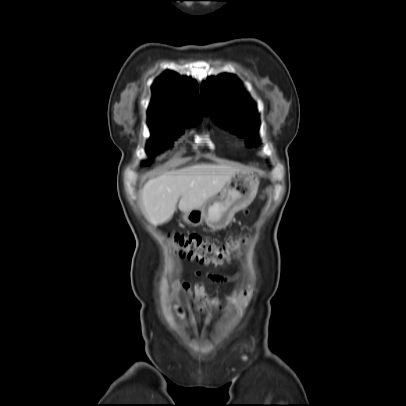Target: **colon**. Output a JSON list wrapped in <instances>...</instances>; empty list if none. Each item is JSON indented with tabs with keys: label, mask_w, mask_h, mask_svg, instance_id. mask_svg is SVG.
I'll list each match as a JSON object with an SVG mask.
<instances>
[{
	"label": "colon",
	"mask_w": 406,
	"mask_h": 406,
	"mask_svg": "<svg viewBox=\"0 0 406 406\" xmlns=\"http://www.w3.org/2000/svg\"><path fill=\"white\" fill-rule=\"evenodd\" d=\"M181 257L204 265L222 266L235 257L247 237H231L215 244L194 233H174L169 236Z\"/></svg>",
	"instance_id": "5ec220e1"
}]
</instances>
